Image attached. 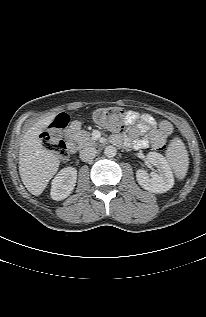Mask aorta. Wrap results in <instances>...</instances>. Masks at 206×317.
I'll return each mask as SVG.
<instances>
[{
	"mask_svg": "<svg viewBox=\"0 0 206 317\" xmlns=\"http://www.w3.org/2000/svg\"><path fill=\"white\" fill-rule=\"evenodd\" d=\"M104 154L109 158L114 157L117 154V149L112 145L107 146L104 150Z\"/></svg>",
	"mask_w": 206,
	"mask_h": 317,
	"instance_id": "obj_1",
	"label": "aorta"
}]
</instances>
